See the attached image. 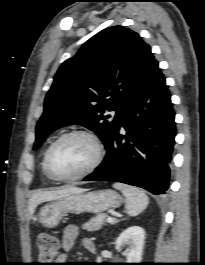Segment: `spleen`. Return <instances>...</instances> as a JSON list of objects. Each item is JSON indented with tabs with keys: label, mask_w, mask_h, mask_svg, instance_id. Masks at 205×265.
<instances>
[{
	"label": "spleen",
	"mask_w": 205,
	"mask_h": 265,
	"mask_svg": "<svg viewBox=\"0 0 205 265\" xmlns=\"http://www.w3.org/2000/svg\"><path fill=\"white\" fill-rule=\"evenodd\" d=\"M113 187L126 197L125 208L130 216H137L147 207L149 198L141 189L121 183H115Z\"/></svg>",
	"instance_id": "3e777b00"
}]
</instances>
